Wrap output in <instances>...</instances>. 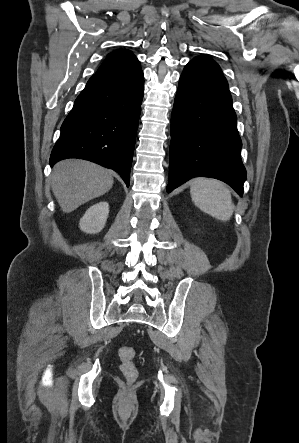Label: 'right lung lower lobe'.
Segmentation results:
<instances>
[{
	"mask_svg": "<svg viewBox=\"0 0 299 443\" xmlns=\"http://www.w3.org/2000/svg\"><path fill=\"white\" fill-rule=\"evenodd\" d=\"M143 94L141 67L93 75L61 126L50 166L86 159L115 170L128 187Z\"/></svg>",
	"mask_w": 299,
	"mask_h": 443,
	"instance_id": "1",
	"label": "right lung lower lobe"
}]
</instances>
